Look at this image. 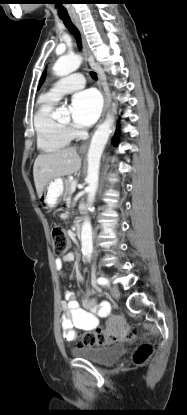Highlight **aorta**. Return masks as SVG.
<instances>
[{
	"instance_id": "obj_1",
	"label": "aorta",
	"mask_w": 187,
	"mask_h": 415,
	"mask_svg": "<svg viewBox=\"0 0 187 415\" xmlns=\"http://www.w3.org/2000/svg\"><path fill=\"white\" fill-rule=\"evenodd\" d=\"M82 62V58L79 55L61 56L57 59L53 66V72L55 75L62 77L69 75L77 70ZM62 113L60 109H57L55 114L59 116ZM113 123L112 116L108 118L98 126L95 131L90 147L88 150V169H87V182H88V197L87 202L89 209L92 206L95 195L98 189L99 180V167L100 159L103 153L104 147L109 139L111 133V126ZM81 244L83 254L90 259L93 251L92 242V226L89 218H86L82 224L81 230Z\"/></svg>"
}]
</instances>
